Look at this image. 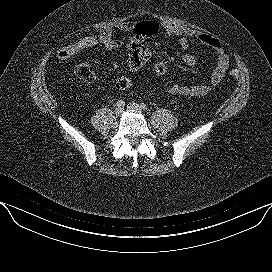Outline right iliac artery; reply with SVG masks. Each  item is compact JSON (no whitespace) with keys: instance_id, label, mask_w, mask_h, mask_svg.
<instances>
[{"instance_id":"obj_1","label":"right iliac artery","mask_w":272,"mask_h":272,"mask_svg":"<svg viewBox=\"0 0 272 272\" xmlns=\"http://www.w3.org/2000/svg\"><path fill=\"white\" fill-rule=\"evenodd\" d=\"M124 105H125L124 100H122V99H121V100H118V102H117V106H118V107H121V108H122V107H124Z\"/></svg>"}]
</instances>
